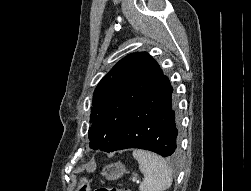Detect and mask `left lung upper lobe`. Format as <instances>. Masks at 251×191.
<instances>
[{
	"label": "left lung upper lobe",
	"mask_w": 251,
	"mask_h": 191,
	"mask_svg": "<svg viewBox=\"0 0 251 191\" xmlns=\"http://www.w3.org/2000/svg\"><path fill=\"white\" fill-rule=\"evenodd\" d=\"M163 71L147 53L129 54L99 82L91 107L90 147L108 152L130 114Z\"/></svg>",
	"instance_id": "5c2ea615"
}]
</instances>
